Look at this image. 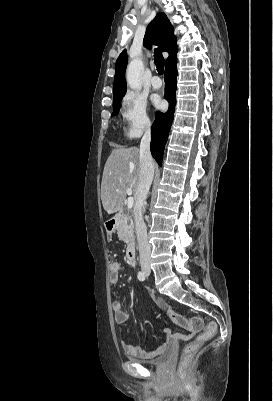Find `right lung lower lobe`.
Returning a JSON list of instances; mask_svg holds the SVG:
<instances>
[{"instance_id":"98d812e1","label":"right lung lower lobe","mask_w":273,"mask_h":401,"mask_svg":"<svg viewBox=\"0 0 273 401\" xmlns=\"http://www.w3.org/2000/svg\"><path fill=\"white\" fill-rule=\"evenodd\" d=\"M176 63L171 62L165 67V99L169 102L170 106L166 113L158 112L156 120L152 126L151 138V153L157 163L161 166L163 159V151L168 139V134L174 117V109L176 104L175 91H176V77L177 68Z\"/></svg>"}]
</instances>
